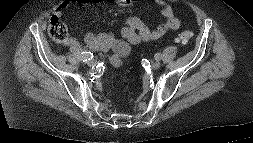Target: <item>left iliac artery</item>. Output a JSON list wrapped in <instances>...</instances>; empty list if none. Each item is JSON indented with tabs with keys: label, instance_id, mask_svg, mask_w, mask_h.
I'll return each mask as SVG.
<instances>
[{
	"label": "left iliac artery",
	"instance_id": "obj_1",
	"mask_svg": "<svg viewBox=\"0 0 253 143\" xmlns=\"http://www.w3.org/2000/svg\"><path fill=\"white\" fill-rule=\"evenodd\" d=\"M162 58V55L160 53L155 54V59L160 60Z\"/></svg>",
	"mask_w": 253,
	"mask_h": 143
}]
</instances>
